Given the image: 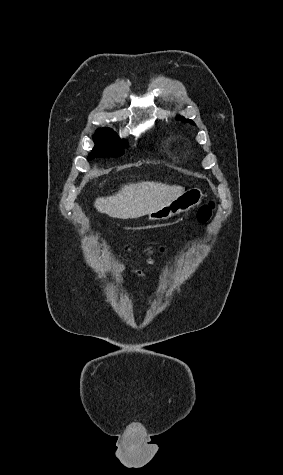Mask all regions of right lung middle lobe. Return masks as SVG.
<instances>
[{"instance_id":"right-lung-middle-lobe-1","label":"right lung middle lobe","mask_w":283,"mask_h":475,"mask_svg":"<svg viewBox=\"0 0 283 475\" xmlns=\"http://www.w3.org/2000/svg\"><path fill=\"white\" fill-rule=\"evenodd\" d=\"M93 140L96 145L92 153L89 154L88 160L95 157H118L124 153L126 142L121 140L112 129H97Z\"/></svg>"}]
</instances>
